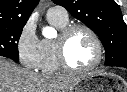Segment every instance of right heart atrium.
<instances>
[{
  "instance_id": "obj_1",
  "label": "right heart atrium",
  "mask_w": 127,
  "mask_h": 92,
  "mask_svg": "<svg viewBox=\"0 0 127 92\" xmlns=\"http://www.w3.org/2000/svg\"><path fill=\"white\" fill-rule=\"evenodd\" d=\"M16 51L21 65L27 69L37 70L41 62V41L36 35L32 23H26L16 40Z\"/></svg>"
}]
</instances>
